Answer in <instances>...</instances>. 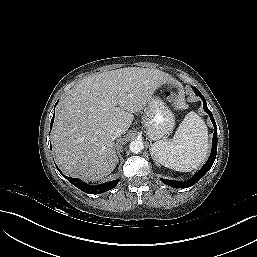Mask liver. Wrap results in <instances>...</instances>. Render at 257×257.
I'll return each mask as SVG.
<instances>
[{"label":"liver","mask_w":257,"mask_h":257,"mask_svg":"<svg viewBox=\"0 0 257 257\" xmlns=\"http://www.w3.org/2000/svg\"><path fill=\"white\" fill-rule=\"evenodd\" d=\"M175 82L157 69L127 67L81 80L60 102L51 134L61 170L84 181H99L116 167L112 132L129 129L156 89Z\"/></svg>","instance_id":"1"}]
</instances>
